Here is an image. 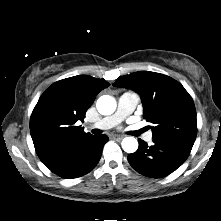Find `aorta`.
Here are the masks:
<instances>
[{"label":"aorta","mask_w":221,"mask_h":221,"mask_svg":"<svg viewBox=\"0 0 221 221\" xmlns=\"http://www.w3.org/2000/svg\"><path fill=\"white\" fill-rule=\"evenodd\" d=\"M116 100L110 95L101 96L96 103L97 110L102 115H111L116 110ZM122 148L127 153H134L138 149V141L134 137L122 140Z\"/></svg>","instance_id":"aorta-1"}]
</instances>
